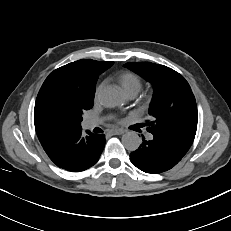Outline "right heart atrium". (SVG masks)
Returning <instances> with one entry per match:
<instances>
[{"label": "right heart atrium", "mask_w": 231, "mask_h": 231, "mask_svg": "<svg viewBox=\"0 0 231 231\" xmlns=\"http://www.w3.org/2000/svg\"><path fill=\"white\" fill-rule=\"evenodd\" d=\"M102 84H100L98 87H97V89H96V95H98L99 94V92H100V90H101V88H102Z\"/></svg>", "instance_id": "1"}]
</instances>
